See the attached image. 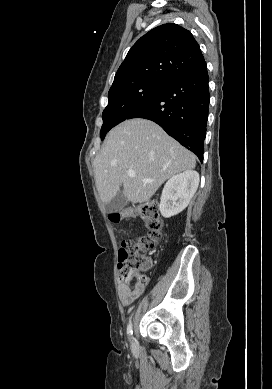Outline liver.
I'll list each match as a JSON object with an SVG mask.
<instances>
[{"label": "liver", "mask_w": 272, "mask_h": 389, "mask_svg": "<svg viewBox=\"0 0 272 389\" xmlns=\"http://www.w3.org/2000/svg\"><path fill=\"white\" fill-rule=\"evenodd\" d=\"M93 166L103 203L110 202L123 185L128 201L135 204L148 201L172 176L194 169L196 157L156 123L136 118L110 131ZM129 170L135 177L128 176Z\"/></svg>", "instance_id": "1"}]
</instances>
